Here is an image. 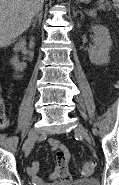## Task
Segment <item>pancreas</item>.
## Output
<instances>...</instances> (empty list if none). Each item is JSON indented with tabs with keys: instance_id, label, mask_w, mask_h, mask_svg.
Returning a JSON list of instances; mask_svg holds the SVG:
<instances>
[{
	"instance_id": "1",
	"label": "pancreas",
	"mask_w": 119,
	"mask_h": 185,
	"mask_svg": "<svg viewBox=\"0 0 119 185\" xmlns=\"http://www.w3.org/2000/svg\"><path fill=\"white\" fill-rule=\"evenodd\" d=\"M92 17H95L96 16V13H92V14H90Z\"/></svg>"
}]
</instances>
